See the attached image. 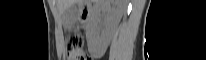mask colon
I'll return each instance as SVG.
<instances>
[{"label": "colon", "instance_id": "1", "mask_svg": "<svg viewBox=\"0 0 206 60\" xmlns=\"http://www.w3.org/2000/svg\"><path fill=\"white\" fill-rule=\"evenodd\" d=\"M66 48L69 60H90L83 50V41L79 35H71Z\"/></svg>", "mask_w": 206, "mask_h": 60}]
</instances>
